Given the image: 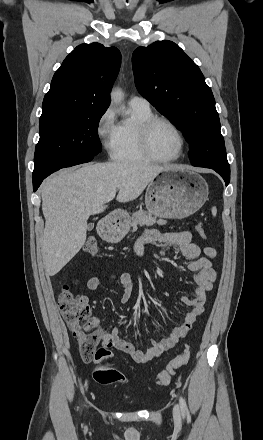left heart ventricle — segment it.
I'll return each mask as SVG.
<instances>
[{"instance_id": "obj_1", "label": "left heart ventricle", "mask_w": 263, "mask_h": 440, "mask_svg": "<svg viewBox=\"0 0 263 440\" xmlns=\"http://www.w3.org/2000/svg\"><path fill=\"white\" fill-rule=\"evenodd\" d=\"M150 146L156 156L171 158L179 152L180 139L172 127L164 122H159L151 130Z\"/></svg>"}]
</instances>
